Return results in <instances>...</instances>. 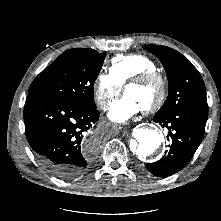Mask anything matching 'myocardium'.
I'll return each mask as SVG.
<instances>
[{
    "label": "myocardium",
    "instance_id": "1",
    "mask_svg": "<svg viewBox=\"0 0 221 221\" xmlns=\"http://www.w3.org/2000/svg\"><path fill=\"white\" fill-rule=\"evenodd\" d=\"M155 85L158 89L156 99L143 108L144 112L152 113L157 111L164 104L167 97V84L163 76L158 71H146L129 79L124 85V92L129 86L135 85Z\"/></svg>",
    "mask_w": 221,
    "mask_h": 221
}]
</instances>
